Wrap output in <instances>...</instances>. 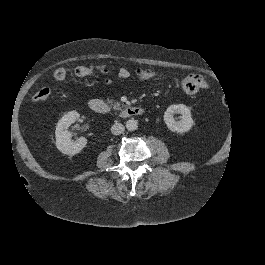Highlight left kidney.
Wrapping results in <instances>:
<instances>
[{
    "instance_id": "1",
    "label": "left kidney",
    "mask_w": 265,
    "mask_h": 265,
    "mask_svg": "<svg viewBox=\"0 0 265 265\" xmlns=\"http://www.w3.org/2000/svg\"><path fill=\"white\" fill-rule=\"evenodd\" d=\"M173 112L181 114L182 122H176L172 116ZM164 122L169 131L184 134L190 131L193 126L192 111L185 105H171L164 113Z\"/></svg>"
}]
</instances>
